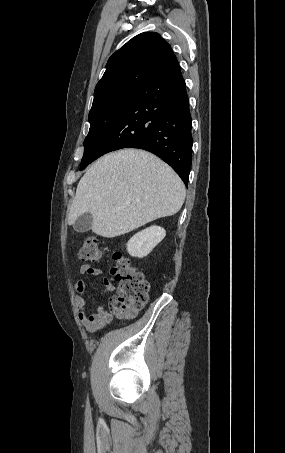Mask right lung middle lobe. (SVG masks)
<instances>
[{
	"mask_svg": "<svg viewBox=\"0 0 285 453\" xmlns=\"http://www.w3.org/2000/svg\"><path fill=\"white\" fill-rule=\"evenodd\" d=\"M138 91L121 94L91 108L90 130L84 140L80 170L98 158L99 151Z\"/></svg>",
	"mask_w": 285,
	"mask_h": 453,
	"instance_id": "obj_1",
	"label": "right lung middle lobe"
}]
</instances>
